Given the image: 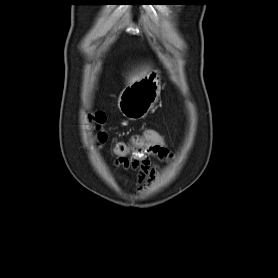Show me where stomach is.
Segmentation results:
<instances>
[{
    "mask_svg": "<svg viewBox=\"0 0 278 278\" xmlns=\"http://www.w3.org/2000/svg\"><path fill=\"white\" fill-rule=\"evenodd\" d=\"M160 92L159 73L151 71L123 89L118 99L119 110L129 120L143 119L158 101Z\"/></svg>",
    "mask_w": 278,
    "mask_h": 278,
    "instance_id": "obj_1",
    "label": "stomach"
}]
</instances>
